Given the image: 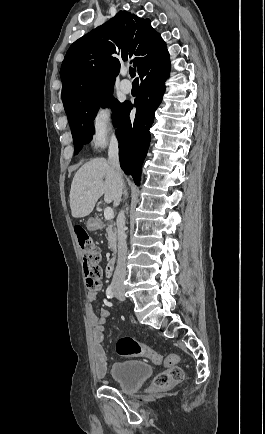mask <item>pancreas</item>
I'll return each instance as SVG.
<instances>
[{
	"instance_id": "1",
	"label": "pancreas",
	"mask_w": 265,
	"mask_h": 434,
	"mask_svg": "<svg viewBox=\"0 0 265 434\" xmlns=\"http://www.w3.org/2000/svg\"><path fill=\"white\" fill-rule=\"evenodd\" d=\"M107 240H108V248L112 250V252H116V228L114 226H107Z\"/></svg>"
}]
</instances>
